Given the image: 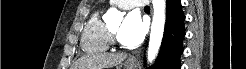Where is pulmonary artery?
Segmentation results:
<instances>
[{"label": "pulmonary artery", "instance_id": "obj_1", "mask_svg": "<svg viewBox=\"0 0 246 69\" xmlns=\"http://www.w3.org/2000/svg\"><path fill=\"white\" fill-rule=\"evenodd\" d=\"M112 3H117L120 7L124 9H129L133 7H142L147 4V1H138V0H122V1H112Z\"/></svg>", "mask_w": 246, "mask_h": 69}]
</instances>
